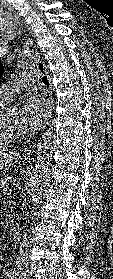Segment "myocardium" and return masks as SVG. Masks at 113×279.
<instances>
[{
  "instance_id": "obj_1",
  "label": "myocardium",
  "mask_w": 113,
  "mask_h": 279,
  "mask_svg": "<svg viewBox=\"0 0 113 279\" xmlns=\"http://www.w3.org/2000/svg\"><path fill=\"white\" fill-rule=\"evenodd\" d=\"M14 107L16 106L11 102H6L0 106V139L5 142L17 140L24 134L23 132H15L10 130L4 123L7 114Z\"/></svg>"
}]
</instances>
